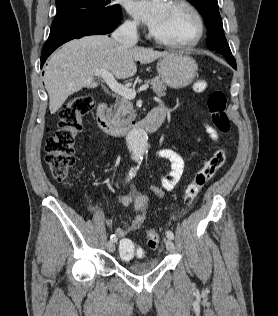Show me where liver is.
I'll return each mask as SVG.
<instances>
[{"mask_svg":"<svg viewBox=\"0 0 278 316\" xmlns=\"http://www.w3.org/2000/svg\"><path fill=\"white\" fill-rule=\"evenodd\" d=\"M165 54L144 47L123 46L107 35L85 36L64 44L45 67L50 112L55 114L75 92L97 87L95 70H107L117 79H126L137 72V61L147 64Z\"/></svg>","mask_w":278,"mask_h":316,"instance_id":"liver-1","label":"liver"}]
</instances>
